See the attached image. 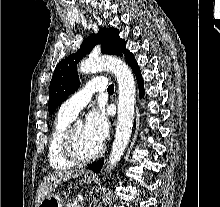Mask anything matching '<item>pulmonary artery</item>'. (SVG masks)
I'll return each instance as SVG.
<instances>
[{
    "instance_id": "obj_1",
    "label": "pulmonary artery",
    "mask_w": 220,
    "mask_h": 207,
    "mask_svg": "<svg viewBox=\"0 0 220 207\" xmlns=\"http://www.w3.org/2000/svg\"><path fill=\"white\" fill-rule=\"evenodd\" d=\"M107 86L108 84L105 77H96L88 81L82 89L62 103L59 112L74 118L91 100L95 92L104 91Z\"/></svg>"
}]
</instances>
